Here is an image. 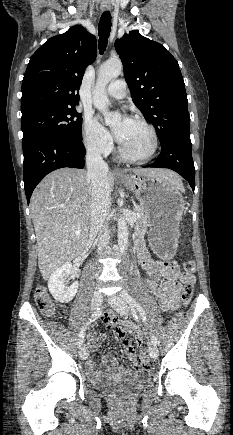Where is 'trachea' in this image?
<instances>
[{"label":"trachea","mask_w":233,"mask_h":435,"mask_svg":"<svg viewBox=\"0 0 233 435\" xmlns=\"http://www.w3.org/2000/svg\"><path fill=\"white\" fill-rule=\"evenodd\" d=\"M111 31V15L109 11L103 12L99 26H98V35H99V52L100 54H103L106 50L107 44H108V38Z\"/></svg>","instance_id":"1"}]
</instances>
